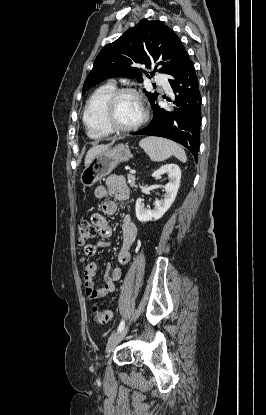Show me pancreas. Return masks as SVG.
<instances>
[{"instance_id": "cf45deb5", "label": "pancreas", "mask_w": 266, "mask_h": 415, "mask_svg": "<svg viewBox=\"0 0 266 415\" xmlns=\"http://www.w3.org/2000/svg\"><path fill=\"white\" fill-rule=\"evenodd\" d=\"M127 179H128V183H129V185H130L131 187H134V186H135V176H134V175H132V174H129V175L127 176Z\"/></svg>"}]
</instances>
